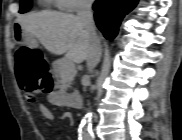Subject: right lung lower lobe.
Masks as SVG:
<instances>
[{
  "label": "right lung lower lobe",
  "instance_id": "1",
  "mask_svg": "<svg viewBox=\"0 0 182 140\" xmlns=\"http://www.w3.org/2000/svg\"><path fill=\"white\" fill-rule=\"evenodd\" d=\"M138 0H97L93 6L95 21L104 36L113 40L120 22L137 5Z\"/></svg>",
  "mask_w": 182,
  "mask_h": 140
}]
</instances>
